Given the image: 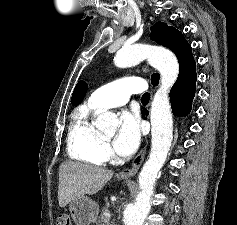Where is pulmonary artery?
<instances>
[{
    "mask_svg": "<svg viewBox=\"0 0 237 225\" xmlns=\"http://www.w3.org/2000/svg\"><path fill=\"white\" fill-rule=\"evenodd\" d=\"M145 90V83L139 77H125L97 88L90 96L89 101L98 109H107L124 105L131 94Z\"/></svg>",
    "mask_w": 237,
    "mask_h": 225,
    "instance_id": "pulmonary-artery-1",
    "label": "pulmonary artery"
}]
</instances>
